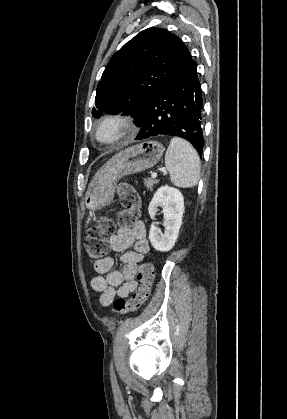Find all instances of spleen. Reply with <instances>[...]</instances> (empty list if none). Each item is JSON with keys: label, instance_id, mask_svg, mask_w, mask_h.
<instances>
[{"label": "spleen", "instance_id": "1", "mask_svg": "<svg viewBox=\"0 0 287 419\" xmlns=\"http://www.w3.org/2000/svg\"><path fill=\"white\" fill-rule=\"evenodd\" d=\"M165 166L175 186L191 188L197 185L200 178V159L186 140L179 137L171 139L165 154Z\"/></svg>", "mask_w": 287, "mask_h": 419}]
</instances>
